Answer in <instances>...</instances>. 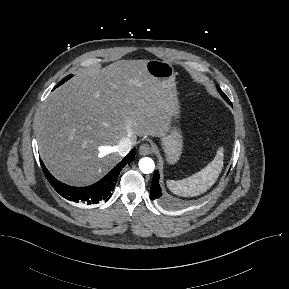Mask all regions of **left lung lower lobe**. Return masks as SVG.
Returning <instances> with one entry per match:
<instances>
[{
    "label": "left lung lower lobe",
    "mask_w": 289,
    "mask_h": 289,
    "mask_svg": "<svg viewBox=\"0 0 289 289\" xmlns=\"http://www.w3.org/2000/svg\"><path fill=\"white\" fill-rule=\"evenodd\" d=\"M224 99L230 105H232L227 96ZM159 178L160 176H159L158 170H156L152 179V184H151V189H150V197L152 200L159 199L162 196Z\"/></svg>",
    "instance_id": "0a47b994"
}]
</instances>
